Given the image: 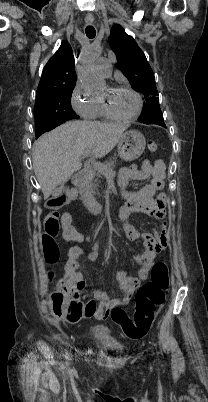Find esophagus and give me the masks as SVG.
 <instances>
[{"label": "esophagus", "instance_id": "34e87169", "mask_svg": "<svg viewBox=\"0 0 208 402\" xmlns=\"http://www.w3.org/2000/svg\"><path fill=\"white\" fill-rule=\"evenodd\" d=\"M85 21L87 24H91L93 22V15L88 13L85 17Z\"/></svg>", "mask_w": 208, "mask_h": 402}]
</instances>
